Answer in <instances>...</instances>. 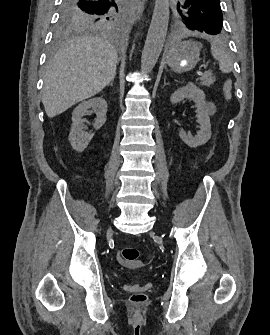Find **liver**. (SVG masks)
Masks as SVG:
<instances>
[{
  "label": "liver",
  "instance_id": "1",
  "mask_svg": "<svg viewBox=\"0 0 270 335\" xmlns=\"http://www.w3.org/2000/svg\"><path fill=\"white\" fill-rule=\"evenodd\" d=\"M117 50L99 36H76L47 64L42 102L48 118L101 92L116 74Z\"/></svg>",
  "mask_w": 270,
  "mask_h": 335
}]
</instances>
